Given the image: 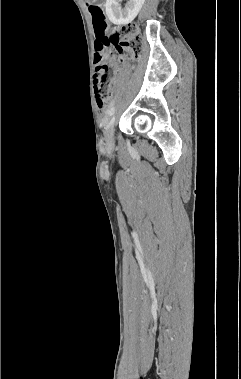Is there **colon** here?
Instances as JSON below:
<instances>
[{"label": "colon", "instance_id": "obj_1", "mask_svg": "<svg viewBox=\"0 0 241 379\" xmlns=\"http://www.w3.org/2000/svg\"><path fill=\"white\" fill-rule=\"evenodd\" d=\"M89 9L93 18L94 32L98 38L94 57L96 71L94 90L99 109L106 111L112 103L110 67L115 61V55L125 50L137 55L142 40L138 26L134 23L125 24L116 29L110 38H104L107 26L104 7L97 4L91 5Z\"/></svg>", "mask_w": 241, "mask_h": 379}]
</instances>
